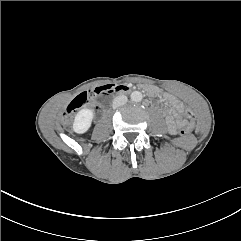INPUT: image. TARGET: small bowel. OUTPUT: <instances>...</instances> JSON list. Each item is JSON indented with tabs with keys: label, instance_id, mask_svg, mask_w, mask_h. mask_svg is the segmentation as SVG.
<instances>
[{
	"label": "small bowel",
	"instance_id": "c3829d8e",
	"mask_svg": "<svg viewBox=\"0 0 241 241\" xmlns=\"http://www.w3.org/2000/svg\"><path fill=\"white\" fill-rule=\"evenodd\" d=\"M167 99L173 107L167 118L168 128L170 132H174L176 127L184 126L186 123L182 117L184 106L180 100L173 96H168Z\"/></svg>",
	"mask_w": 241,
	"mask_h": 241
}]
</instances>
